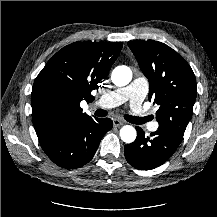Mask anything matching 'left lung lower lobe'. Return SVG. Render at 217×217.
I'll list each match as a JSON object with an SVG mask.
<instances>
[{"instance_id":"obj_1","label":"left lung lower lobe","mask_w":217,"mask_h":217,"mask_svg":"<svg viewBox=\"0 0 217 217\" xmlns=\"http://www.w3.org/2000/svg\"><path fill=\"white\" fill-rule=\"evenodd\" d=\"M136 130V140L125 145L124 153L128 163L139 170L154 169L165 163L176 151L183 138L162 127L151 133L150 137H146L140 127H136Z\"/></svg>"}]
</instances>
